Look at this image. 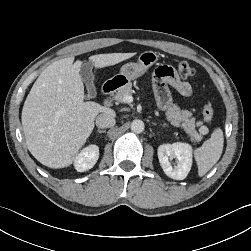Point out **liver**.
I'll return each mask as SVG.
<instances>
[{
    "mask_svg": "<svg viewBox=\"0 0 251 251\" xmlns=\"http://www.w3.org/2000/svg\"><path fill=\"white\" fill-rule=\"evenodd\" d=\"M135 53L98 54L89 57L96 68L113 66ZM68 57L46 67L33 84L23 106L22 126L30 153L43 165L64 168L75 160L93 131L99 113L112 109L84 102L79 74L82 63Z\"/></svg>",
    "mask_w": 251,
    "mask_h": 251,
    "instance_id": "6515ba94",
    "label": "liver"
}]
</instances>
